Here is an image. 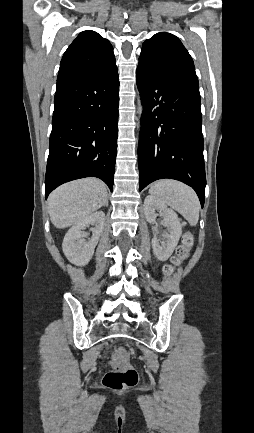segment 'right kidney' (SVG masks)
Returning a JSON list of instances; mask_svg holds the SVG:
<instances>
[{
	"mask_svg": "<svg viewBox=\"0 0 254 433\" xmlns=\"http://www.w3.org/2000/svg\"><path fill=\"white\" fill-rule=\"evenodd\" d=\"M105 222L103 211L95 212L83 220L75 223L66 233L62 248L67 259L77 266L86 265L94 254V249L99 241ZM89 225L93 227L92 237L85 241L86 233L83 231Z\"/></svg>",
	"mask_w": 254,
	"mask_h": 433,
	"instance_id": "right-kidney-1",
	"label": "right kidney"
}]
</instances>
